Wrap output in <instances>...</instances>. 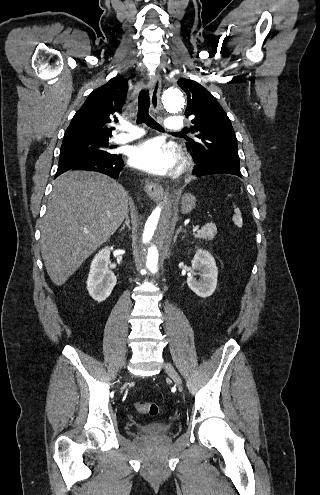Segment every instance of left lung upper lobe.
<instances>
[{"instance_id":"1","label":"left lung upper lobe","mask_w":320,"mask_h":495,"mask_svg":"<svg viewBox=\"0 0 320 495\" xmlns=\"http://www.w3.org/2000/svg\"><path fill=\"white\" fill-rule=\"evenodd\" d=\"M177 83L187 95L186 116L193 118L188 131L197 137L187 139L191 155L210 165L240 168L235 132L216 98L196 81L181 78Z\"/></svg>"}]
</instances>
